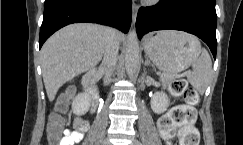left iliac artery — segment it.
<instances>
[{"label":"left iliac artery","instance_id":"1","mask_svg":"<svg viewBox=\"0 0 243 145\" xmlns=\"http://www.w3.org/2000/svg\"><path fill=\"white\" fill-rule=\"evenodd\" d=\"M138 145H142L139 141H137Z\"/></svg>","mask_w":243,"mask_h":145}]
</instances>
